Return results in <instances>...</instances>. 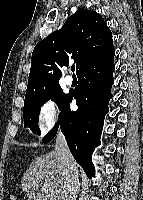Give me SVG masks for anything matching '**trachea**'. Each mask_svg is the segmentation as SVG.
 <instances>
[{
	"label": "trachea",
	"mask_w": 143,
	"mask_h": 200,
	"mask_svg": "<svg viewBox=\"0 0 143 200\" xmlns=\"http://www.w3.org/2000/svg\"><path fill=\"white\" fill-rule=\"evenodd\" d=\"M71 71L74 72L75 71V66L71 67Z\"/></svg>",
	"instance_id": "3493384b"
}]
</instances>
